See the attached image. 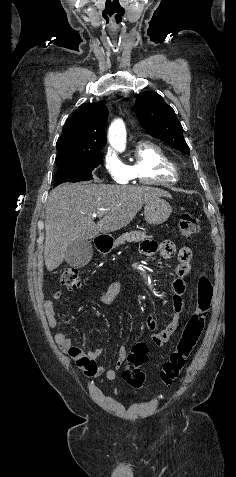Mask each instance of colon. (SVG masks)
<instances>
[{"mask_svg":"<svg viewBox=\"0 0 236 477\" xmlns=\"http://www.w3.org/2000/svg\"><path fill=\"white\" fill-rule=\"evenodd\" d=\"M178 230L183 238L189 239L199 231V220L191 213L181 214L178 222ZM63 286L75 289L82 285V278L77 269L67 267L60 276ZM213 286L207 275H202L197 284L196 307L183 327L178 343L163 363L160 379L163 384L169 386L179 377L186 361L196 346L205 326V320L211 305ZM148 358V347L145 343H136L128 354V366L123 373L124 380L134 388H143L145 384V372L141 366Z\"/></svg>","mask_w":236,"mask_h":477,"instance_id":"5ec220e1","label":"colon"}]
</instances>
